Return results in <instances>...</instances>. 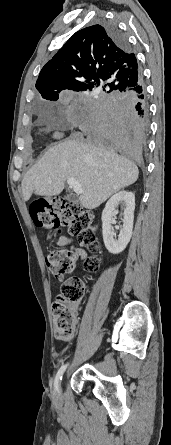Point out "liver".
Instances as JSON below:
<instances>
[{
	"mask_svg": "<svg viewBox=\"0 0 171 445\" xmlns=\"http://www.w3.org/2000/svg\"><path fill=\"white\" fill-rule=\"evenodd\" d=\"M138 168L125 157L96 142L69 139L50 148L24 176L22 193L28 201L34 193L55 196L62 192L69 178L76 179L83 193L79 200L83 207L95 209L111 195L138 178Z\"/></svg>",
	"mask_w": 171,
	"mask_h": 445,
	"instance_id": "liver-1",
	"label": "liver"
}]
</instances>
